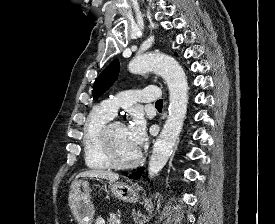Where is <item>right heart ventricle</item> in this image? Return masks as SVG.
Returning <instances> with one entry per match:
<instances>
[{
	"label": "right heart ventricle",
	"instance_id": "e07e8e85",
	"mask_svg": "<svg viewBox=\"0 0 275 224\" xmlns=\"http://www.w3.org/2000/svg\"><path fill=\"white\" fill-rule=\"evenodd\" d=\"M112 118L101 106L93 109L83 127V153L87 167L94 170L109 169L99 144L102 127Z\"/></svg>",
	"mask_w": 275,
	"mask_h": 224
}]
</instances>
